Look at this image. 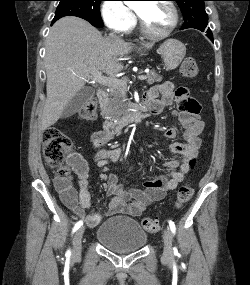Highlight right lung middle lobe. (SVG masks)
<instances>
[{"label":"right lung middle lobe","instance_id":"dd1d6c3e","mask_svg":"<svg viewBox=\"0 0 250 285\" xmlns=\"http://www.w3.org/2000/svg\"><path fill=\"white\" fill-rule=\"evenodd\" d=\"M60 1L52 21L64 16H77L90 22L93 26L103 27L100 15V2L103 0H58Z\"/></svg>","mask_w":250,"mask_h":285}]
</instances>
